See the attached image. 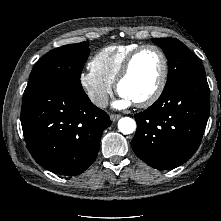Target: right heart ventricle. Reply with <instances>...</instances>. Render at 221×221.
Masks as SVG:
<instances>
[{
  "label": "right heart ventricle",
  "mask_w": 221,
  "mask_h": 221,
  "mask_svg": "<svg viewBox=\"0 0 221 221\" xmlns=\"http://www.w3.org/2000/svg\"><path fill=\"white\" fill-rule=\"evenodd\" d=\"M139 46V43H127L104 47L93 56L90 68L113 84L128 55Z\"/></svg>",
  "instance_id": "obj_1"
}]
</instances>
